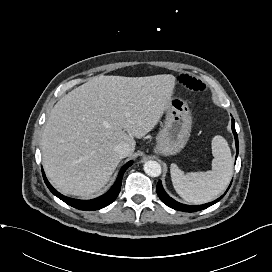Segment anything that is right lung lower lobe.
Listing matches in <instances>:
<instances>
[{"mask_svg": "<svg viewBox=\"0 0 272 272\" xmlns=\"http://www.w3.org/2000/svg\"><path fill=\"white\" fill-rule=\"evenodd\" d=\"M131 165H132V161H129L121 168L116 182L106 194L92 200H76V199L68 198L66 196L61 195L48 182L43 170H42V173H43V178L47 187L55 196H57L59 199H61L62 201H64L65 203H67L68 205L74 208L85 210V211H91V210L101 209L111 204L116 199L121 189L123 174L127 170V168Z\"/></svg>", "mask_w": 272, "mask_h": 272, "instance_id": "right-lung-lower-lobe-1", "label": "right lung lower lobe"}]
</instances>
